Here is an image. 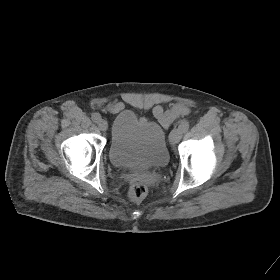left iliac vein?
<instances>
[{"label":"left iliac vein","mask_w":280,"mask_h":280,"mask_svg":"<svg viewBox=\"0 0 280 280\" xmlns=\"http://www.w3.org/2000/svg\"><path fill=\"white\" fill-rule=\"evenodd\" d=\"M182 138V131L178 129H173L169 136V141L171 144L178 143Z\"/></svg>","instance_id":"1"}]
</instances>
